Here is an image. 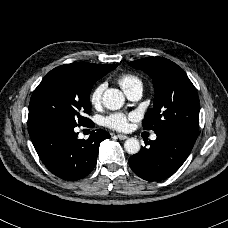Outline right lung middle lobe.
<instances>
[{
	"mask_svg": "<svg viewBox=\"0 0 228 228\" xmlns=\"http://www.w3.org/2000/svg\"><path fill=\"white\" fill-rule=\"evenodd\" d=\"M108 70H94L72 63L51 70L32 94L29 104L28 126L45 121H63L75 126L91 123L90 91L94 82Z\"/></svg>",
	"mask_w": 228,
	"mask_h": 228,
	"instance_id": "right-lung-middle-lobe-1",
	"label": "right lung middle lobe"
}]
</instances>
